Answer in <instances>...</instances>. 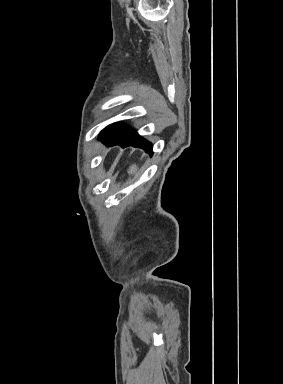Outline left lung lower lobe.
Instances as JSON below:
<instances>
[{
	"mask_svg": "<svg viewBox=\"0 0 283 384\" xmlns=\"http://www.w3.org/2000/svg\"><path fill=\"white\" fill-rule=\"evenodd\" d=\"M99 138L108 146L120 145L125 148L127 146L140 147L152 156V145L140 137L133 129L114 123L106 127L99 135Z\"/></svg>",
	"mask_w": 283,
	"mask_h": 384,
	"instance_id": "0a47b994",
	"label": "left lung lower lobe"
}]
</instances>
